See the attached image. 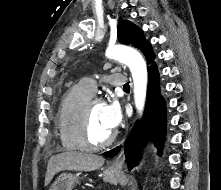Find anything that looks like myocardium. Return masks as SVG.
I'll list each match as a JSON object with an SVG mask.
<instances>
[{"label": "myocardium", "instance_id": "f54148a6", "mask_svg": "<svg viewBox=\"0 0 221 190\" xmlns=\"http://www.w3.org/2000/svg\"><path fill=\"white\" fill-rule=\"evenodd\" d=\"M95 104H103L99 98L89 99L82 107L79 119V138L84 149L97 151L110 146L116 139V133L112 132L105 140L101 142H93L90 137V116L92 107Z\"/></svg>", "mask_w": 221, "mask_h": 190}]
</instances>
